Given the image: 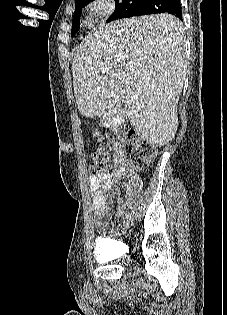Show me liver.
<instances>
[{"label":"liver","mask_w":227,"mask_h":315,"mask_svg":"<svg viewBox=\"0 0 227 315\" xmlns=\"http://www.w3.org/2000/svg\"><path fill=\"white\" fill-rule=\"evenodd\" d=\"M187 72L183 24L163 13L99 28L72 60L79 112L93 117L124 103L133 129L159 147L176 134L177 104Z\"/></svg>","instance_id":"obj_1"}]
</instances>
